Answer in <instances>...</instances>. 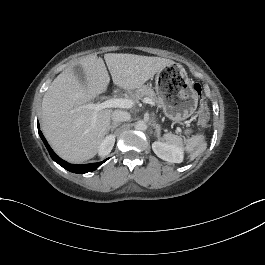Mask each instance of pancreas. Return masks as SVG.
<instances>
[{"mask_svg":"<svg viewBox=\"0 0 265 265\" xmlns=\"http://www.w3.org/2000/svg\"><path fill=\"white\" fill-rule=\"evenodd\" d=\"M132 97L135 101L145 97L150 99L152 103H158L160 101V99L155 95L154 91L145 86L138 88L136 90V94L132 95Z\"/></svg>","mask_w":265,"mask_h":265,"instance_id":"pancreas-1","label":"pancreas"}]
</instances>
